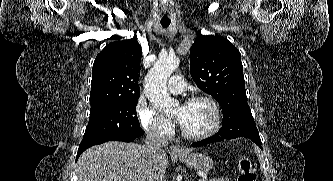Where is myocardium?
I'll return each instance as SVG.
<instances>
[{
	"instance_id": "myocardium-1",
	"label": "myocardium",
	"mask_w": 333,
	"mask_h": 181,
	"mask_svg": "<svg viewBox=\"0 0 333 181\" xmlns=\"http://www.w3.org/2000/svg\"><path fill=\"white\" fill-rule=\"evenodd\" d=\"M198 101L206 102L210 106L212 111V123L207 130L196 134L188 133L183 128H181L182 136L189 140H203L205 138H208L219 129L221 124V112L216 100L208 95H195L188 98L185 101V104H190Z\"/></svg>"
}]
</instances>
